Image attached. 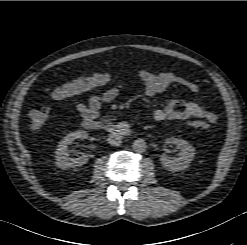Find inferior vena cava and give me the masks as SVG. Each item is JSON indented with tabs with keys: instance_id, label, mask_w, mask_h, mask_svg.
Listing matches in <instances>:
<instances>
[{
	"instance_id": "inferior-vena-cava-1",
	"label": "inferior vena cava",
	"mask_w": 247,
	"mask_h": 245,
	"mask_svg": "<svg viewBox=\"0 0 247 245\" xmlns=\"http://www.w3.org/2000/svg\"><path fill=\"white\" fill-rule=\"evenodd\" d=\"M121 138L117 135L110 134L108 137V143L113 145V146H118L121 144Z\"/></svg>"
}]
</instances>
